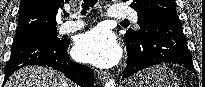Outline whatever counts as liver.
Masks as SVG:
<instances>
[{
  "label": "liver",
  "mask_w": 205,
  "mask_h": 87,
  "mask_svg": "<svg viewBox=\"0 0 205 87\" xmlns=\"http://www.w3.org/2000/svg\"><path fill=\"white\" fill-rule=\"evenodd\" d=\"M5 87H71L65 77L51 68L24 67L9 78Z\"/></svg>",
  "instance_id": "1"
}]
</instances>
